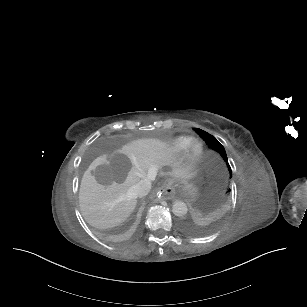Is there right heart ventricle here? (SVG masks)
I'll return each mask as SVG.
<instances>
[{
    "mask_svg": "<svg viewBox=\"0 0 307 307\" xmlns=\"http://www.w3.org/2000/svg\"><path fill=\"white\" fill-rule=\"evenodd\" d=\"M191 141L192 138L190 136H176L164 143L162 150L169 157H180L184 155Z\"/></svg>",
    "mask_w": 307,
    "mask_h": 307,
    "instance_id": "right-heart-ventricle-1",
    "label": "right heart ventricle"
}]
</instances>
